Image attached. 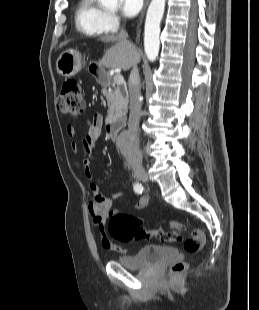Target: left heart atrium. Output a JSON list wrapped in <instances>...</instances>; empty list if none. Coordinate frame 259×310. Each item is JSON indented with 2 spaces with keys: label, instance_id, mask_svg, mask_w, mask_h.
Segmentation results:
<instances>
[{
  "label": "left heart atrium",
  "instance_id": "39dd6f15",
  "mask_svg": "<svg viewBox=\"0 0 259 310\" xmlns=\"http://www.w3.org/2000/svg\"><path fill=\"white\" fill-rule=\"evenodd\" d=\"M143 7V0H121V11L125 17L136 16Z\"/></svg>",
  "mask_w": 259,
  "mask_h": 310
}]
</instances>
